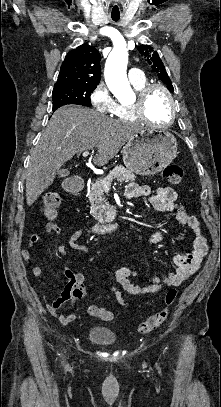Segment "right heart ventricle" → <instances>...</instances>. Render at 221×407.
<instances>
[{
	"mask_svg": "<svg viewBox=\"0 0 221 407\" xmlns=\"http://www.w3.org/2000/svg\"><path fill=\"white\" fill-rule=\"evenodd\" d=\"M131 84L137 91H140L143 87H145L147 85V81H146V79H144L141 82H135V83L131 82ZM132 104L133 103H122V102L118 103L117 107L113 113L114 116L117 119L126 121V122L137 121V118L134 115Z\"/></svg>",
	"mask_w": 221,
	"mask_h": 407,
	"instance_id": "right-heart-ventricle-1",
	"label": "right heart ventricle"
}]
</instances>
